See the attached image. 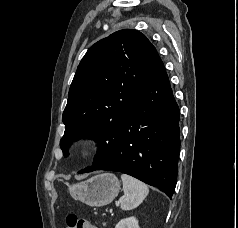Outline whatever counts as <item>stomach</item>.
Here are the masks:
<instances>
[{"label":"stomach","mask_w":238,"mask_h":228,"mask_svg":"<svg viewBox=\"0 0 238 228\" xmlns=\"http://www.w3.org/2000/svg\"><path fill=\"white\" fill-rule=\"evenodd\" d=\"M120 188V181L112 173L99 174L86 181L68 185V191L74 199L92 207L110 204Z\"/></svg>","instance_id":"0dacf381"}]
</instances>
